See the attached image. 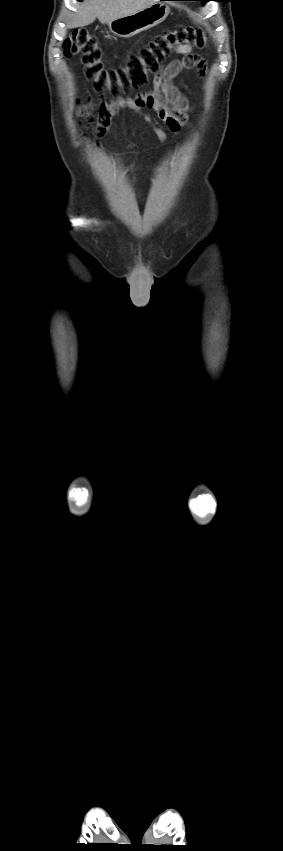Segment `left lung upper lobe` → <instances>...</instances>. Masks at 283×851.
Segmentation results:
<instances>
[{
	"label": "left lung upper lobe",
	"instance_id": "obj_1",
	"mask_svg": "<svg viewBox=\"0 0 283 851\" xmlns=\"http://www.w3.org/2000/svg\"><path fill=\"white\" fill-rule=\"evenodd\" d=\"M195 1H202V3H205L206 1H209V0H195Z\"/></svg>",
	"mask_w": 283,
	"mask_h": 851
}]
</instances>
